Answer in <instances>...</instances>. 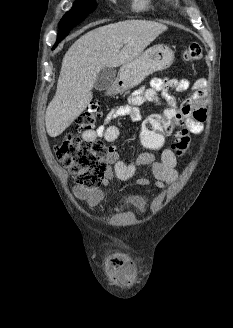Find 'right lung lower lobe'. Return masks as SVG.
<instances>
[{
  "label": "right lung lower lobe",
  "mask_w": 233,
  "mask_h": 328,
  "mask_svg": "<svg viewBox=\"0 0 233 328\" xmlns=\"http://www.w3.org/2000/svg\"><path fill=\"white\" fill-rule=\"evenodd\" d=\"M77 24L79 23H67V24H59V29H60V32H59V35L57 37V41H56V44L54 45L53 49L57 46V44L65 37L68 35V33L70 32V30L76 26Z\"/></svg>",
  "instance_id": "right-lung-lower-lobe-1"
}]
</instances>
